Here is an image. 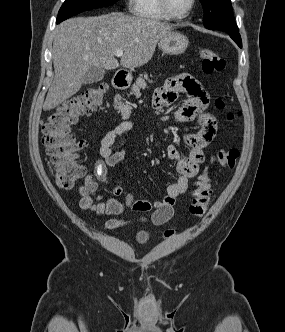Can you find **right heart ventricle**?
<instances>
[{
  "instance_id": "obj_1",
  "label": "right heart ventricle",
  "mask_w": 285,
  "mask_h": 332,
  "mask_svg": "<svg viewBox=\"0 0 285 332\" xmlns=\"http://www.w3.org/2000/svg\"><path fill=\"white\" fill-rule=\"evenodd\" d=\"M131 11L138 18L152 21H167L159 0H131Z\"/></svg>"
}]
</instances>
